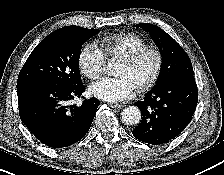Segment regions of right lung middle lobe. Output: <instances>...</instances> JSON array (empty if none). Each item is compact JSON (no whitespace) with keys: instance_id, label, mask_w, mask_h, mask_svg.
Segmentation results:
<instances>
[{"instance_id":"dd1d6c3e","label":"right lung middle lobe","mask_w":224,"mask_h":175,"mask_svg":"<svg viewBox=\"0 0 224 175\" xmlns=\"http://www.w3.org/2000/svg\"><path fill=\"white\" fill-rule=\"evenodd\" d=\"M98 32L79 26H66L52 32L31 52L18 81L40 80L66 87L82 84L81 47Z\"/></svg>"}]
</instances>
